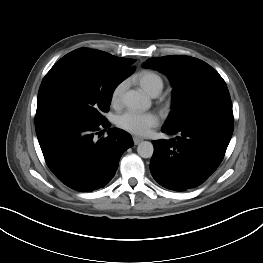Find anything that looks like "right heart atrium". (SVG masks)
<instances>
[{"label":"right heart atrium","mask_w":263,"mask_h":263,"mask_svg":"<svg viewBox=\"0 0 263 263\" xmlns=\"http://www.w3.org/2000/svg\"><path fill=\"white\" fill-rule=\"evenodd\" d=\"M124 91V83L117 84L111 91L110 101L112 105L120 103Z\"/></svg>","instance_id":"right-heart-atrium-1"}]
</instances>
